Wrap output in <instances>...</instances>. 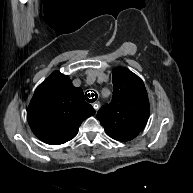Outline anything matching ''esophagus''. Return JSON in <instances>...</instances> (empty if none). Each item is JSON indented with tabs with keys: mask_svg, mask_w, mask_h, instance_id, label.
Listing matches in <instances>:
<instances>
[{
	"mask_svg": "<svg viewBox=\"0 0 193 193\" xmlns=\"http://www.w3.org/2000/svg\"><path fill=\"white\" fill-rule=\"evenodd\" d=\"M89 93H90V99H93V98H95L96 97V100H95V102L93 103V108L96 110V111H98L99 110V108H100V103H99V101H98V98H99V93L97 92V91H89ZM87 94H88V92H87ZM93 96V97H92Z\"/></svg>",
	"mask_w": 193,
	"mask_h": 193,
	"instance_id": "34e87169",
	"label": "esophagus"
}]
</instances>
